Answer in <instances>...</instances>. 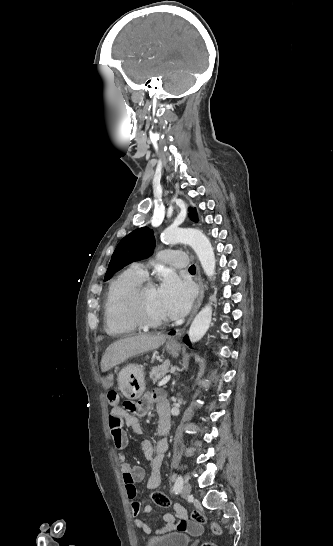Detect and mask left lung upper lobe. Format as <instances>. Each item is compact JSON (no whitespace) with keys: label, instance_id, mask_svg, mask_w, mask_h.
<instances>
[{"label":"left lung upper lobe","instance_id":"left-lung-upper-lobe-1","mask_svg":"<svg viewBox=\"0 0 333 546\" xmlns=\"http://www.w3.org/2000/svg\"><path fill=\"white\" fill-rule=\"evenodd\" d=\"M191 220L197 222L195 209H189ZM155 248V238L153 231L147 227L134 230L124 237L117 245L109 263L105 281L110 279L114 273L121 270L126 265L148 258L152 255Z\"/></svg>","mask_w":333,"mask_h":546}]
</instances>
